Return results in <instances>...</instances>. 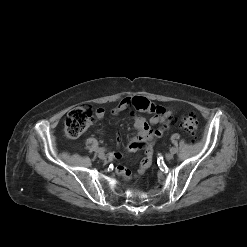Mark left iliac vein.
<instances>
[{
  "mask_svg": "<svg viewBox=\"0 0 247 247\" xmlns=\"http://www.w3.org/2000/svg\"><path fill=\"white\" fill-rule=\"evenodd\" d=\"M173 157H174V155H173V153H168V154H166V160H172L173 159Z\"/></svg>",
  "mask_w": 247,
  "mask_h": 247,
  "instance_id": "obj_1",
  "label": "left iliac vein"
}]
</instances>
